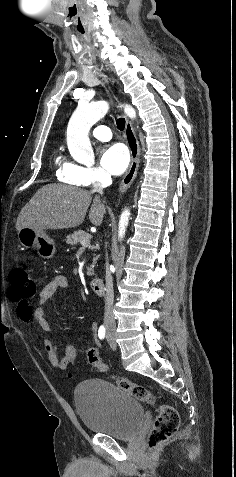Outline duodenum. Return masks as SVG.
<instances>
[{
	"label": "duodenum",
	"mask_w": 236,
	"mask_h": 477,
	"mask_svg": "<svg viewBox=\"0 0 236 477\" xmlns=\"http://www.w3.org/2000/svg\"><path fill=\"white\" fill-rule=\"evenodd\" d=\"M91 290L98 296L105 294V282L102 278H93L90 281Z\"/></svg>",
	"instance_id": "obj_1"
}]
</instances>
